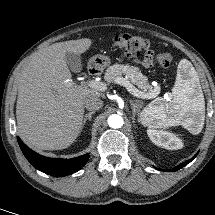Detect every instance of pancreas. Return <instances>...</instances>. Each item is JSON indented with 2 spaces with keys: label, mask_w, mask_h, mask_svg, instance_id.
<instances>
[{
  "label": "pancreas",
  "mask_w": 215,
  "mask_h": 215,
  "mask_svg": "<svg viewBox=\"0 0 215 215\" xmlns=\"http://www.w3.org/2000/svg\"><path fill=\"white\" fill-rule=\"evenodd\" d=\"M123 74L126 75L127 78L133 84L137 85V87L141 89L143 93L147 94L151 93L154 94L155 96L159 94L160 88L159 87L154 88L152 85H150L148 82V78L141 73L140 69L136 66H131L129 64L126 65L114 64L110 66L105 72L104 79L107 84H110L113 83L116 80V78L121 77Z\"/></svg>",
  "instance_id": "1"
}]
</instances>
